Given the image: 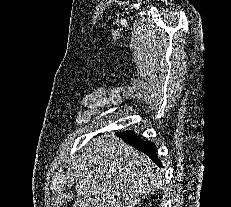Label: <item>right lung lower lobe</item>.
Returning <instances> with one entry per match:
<instances>
[{
	"label": "right lung lower lobe",
	"instance_id": "right-lung-lower-lobe-1",
	"mask_svg": "<svg viewBox=\"0 0 231 207\" xmlns=\"http://www.w3.org/2000/svg\"><path fill=\"white\" fill-rule=\"evenodd\" d=\"M118 136L124 139L126 143L147 154L156 164L162 166L161 161L157 158L156 147L153 143L143 141L133 131L119 133Z\"/></svg>",
	"mask_w": 231,
	"mask_h": 207
}]
</instances>
